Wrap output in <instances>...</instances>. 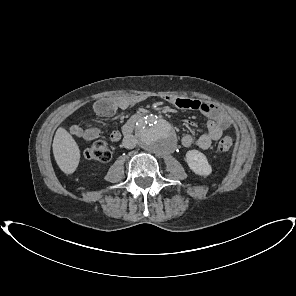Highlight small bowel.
Segmentation results:
<instances>
[{"label": "small bowel", "instance_id": "1", "mask_svg": "<svg viewBox=\"0 0 296 296\" xmlns=\"http://www.w3.org/2000/svg\"><path fill=\"white\" fill-rule=\"evenodd\" d=\"M164 100L179 109L197 110L208 117L206 132L201 134L197 140V146L202 150H207L214 141H217L223 132L229 128L231 120L229 115L221 108L213 105L210 102L187 98V97H174L165 96ZM136 100L126 98L115 99H101L93 104V111L97 117L112 116L117 111L125 110L131 106ZM185 125L190 127L193 122L190 120L185 121ZM70 133L87 141L99 138L102 132L98 128H83L79 124H73L70 127ZM123 132L120 130H112L106 134L112 142H117L121 139ZM194 142L192 135L186 133L180 137V143L183 147H190Z\"/></svg>", "mask_w": 296, "mask_h": 296}]
</instances>
